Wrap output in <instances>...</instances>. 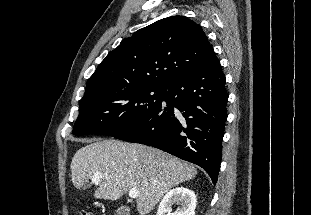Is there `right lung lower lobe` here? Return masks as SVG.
<instances>
[{"mask_svg":"<svg viewBox=\"0 0 311 215\" xmlns=\"http://www.w3.org/2000/svg\"><path fill=\"white\" fill-rule=\"evenodd\" d=\"M225 75L214 63L172 79L163 87L161 104L120 140L153 146L202 167L215 184L227 119Z\"/></svg>","mask_w":311,"mask_h":215,"instance_id":"right-lung-lower-lobe-1","label":"right lung lower lobe"}]
</instances>
